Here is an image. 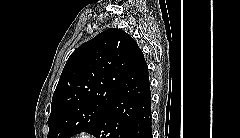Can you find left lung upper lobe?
I'll use <instances>...</instances> for the list:
<instances>
[{
	"mask_svg": "<svg viewBox=\"0 0 240 138\" xmlns=\"http://www.w3.org/2000/svg\"><path fill=\"white\" fill-rule=\"evenodd\" d=\"M125 31L110 28L68 58L53 94L48 138L91 133L140 52Z\"/></svg>",
	"mask_w": 240,
	"mask_h": 138,
	"instance_id": "5c2ea615",
	"label": "left lung upper lobe"
}]
</instances>
